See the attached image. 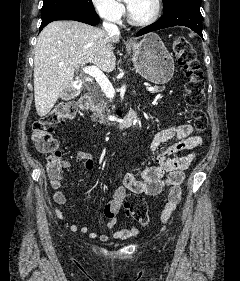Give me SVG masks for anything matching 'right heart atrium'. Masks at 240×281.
Instances as JSON below:
<instances>
[{"mask_svg":"<svg viewBox=\"0 0 240 281\" xmlns=\"http://www.w3.org/2000/svg\"><path fill=\"white\" fill-rule=\"evenodd\" d=\"M95 12L104 20L118 23L125 14L120 0H91Z\"/></svg>","mask_w":240,"mask_h":281,"instance_id":"right-heart-atrium-1","label":"right heart atrium"}]
</instances>
